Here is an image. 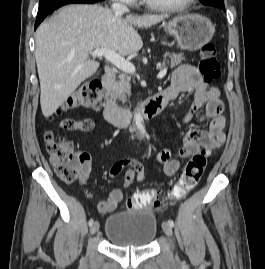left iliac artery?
I'll return each instance as SVG.
<instances>
[{
  "mask_svg": "<svg viewBox=\"0 0 265 269\" xmlns=\"http://www.w3.org/2000/svg\"><path fill=\"white\" fill-rule=\"evenodd\" d=\"M168 223H169V225H170L171 227L174 226V222H173V220H168Z\"/></svg>",
  "mask_w": 265,
  "mask_h": 269,
  "instance_id": "1",
  "label": "left iliac artery"
}]
</instances>
